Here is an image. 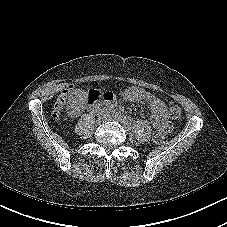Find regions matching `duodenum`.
I'll list each match as a JSON object with an SVG mask.
<instances>
[{"label": "duodenum", "instance_id": "410a0bca", "mask_svg": "<svg viewBox=\"0 0 227 227\" xmlns=\"http://www.w3.org/2000/svg\"><path fill=\"white\" fill-rule=\"evenodd\" d=\"M87 103L92 108H99L102 106L114 108V113L120 116H124L122 113V108L117 106L114 97L111 94H102L98 90L90 91L86 96Z\"/></svg>", "mask_w": 227, "mask_h": 227}]
</instances>
